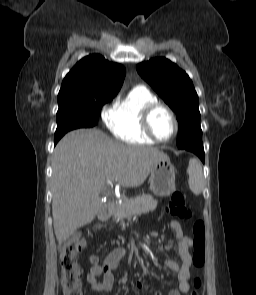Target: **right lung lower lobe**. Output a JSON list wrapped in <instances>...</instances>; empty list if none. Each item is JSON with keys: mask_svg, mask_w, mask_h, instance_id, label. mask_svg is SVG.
Masks as SVG:
<instances>
[{"mask_svg": "<svg viewBox=\"0 0 256 295\" xmlns=\"http://www.w3.org/2000/svg\"><path fill=\"white\" fill-rule=\"evenodd\" d=\"M96 124L91 120L89 119L88 122H87V127H93L95 126ZM63 135H59V136H55L54 137V144L56 145V143L60 140V138L62 137Z\"/></svg>", "mask_w": 256, "mask_h": 295, "instance_id": "1", "label": "right lung lower lobe"}]
</instances>
